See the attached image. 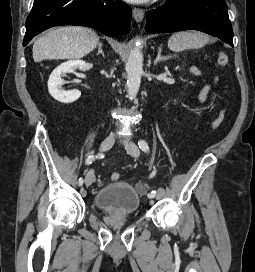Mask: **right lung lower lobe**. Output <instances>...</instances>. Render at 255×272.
<instances>
[{
  "label": "right lung lower lobe",
  "mask_w": 255,
  "mask_h": 272,
  "mask_svg": "<svg viewBox=\"0 0 255 272\" xmlns=\"http://www.w3.org/2000/svg\"><path fill=\"white\" fill-rule=\"evenodd\" d=\"M132 10L119 0H34L26 19L23 46L53 26H87L107 36L130 31Z\"/></svg>",
  "instance_id": "right-lung-lower-lobe-1"
}]
</instances>
